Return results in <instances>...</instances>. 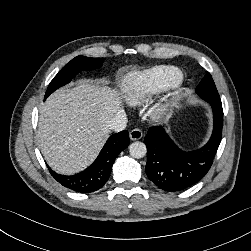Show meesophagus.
I'll return each instance as SVG.
<instances>
[{
  "label": "esophagus",
  "instance_id": "obj_1",
  "mask_svg": "<svg viewBox=\"0 0 251 251\" xmlns=\"http://www.w3.org/2000/svg\"><path fill=\"white\" fill-rule=\"evenodd\" d=\"M142 136H143V133L139 128H134L130 132V139L133 141L140 140Z\"/></svg>",
  "mask_w": 251,
  "mask_h": 251
}]
</instances>
